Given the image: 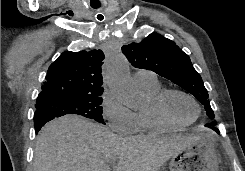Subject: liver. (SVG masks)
I'll return each mask as SVG.
<instances>
[{"instance_id":"obj_1","label":"liver","mask_w":245,"mask_h":171,"mask_svg":"<svg viewBox=\"0 0 245 171\" xmlns=\"http://www.w3.org/2000/svg\"><path fill=\"white\" fill-rule=\"evenodd\" d=\"M198 136H118L76 115L46 124L38 134L33 171H158Z\"/></svg>"}]
</instances>
